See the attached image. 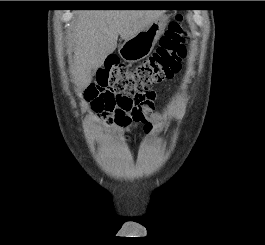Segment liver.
<instances>
[{
	"label": "liver",
	"mask_w": 265,
	"mask_h": 245,
	"mask_svg": "<svg viewBox=\"0 0 265 245\" xmlns=\"http://www.w3.org/2000/svg\"><path fill=\"white\" fill-rule=\"evenodd\" d=\"M164 14L162 10H82L71 35L74 62L71 74L81 91L92 80V69L103 65L117 47L118 36L128 40Z\"/></svg>",
	"instance_id": "6515ba94"
}]
</instances>
